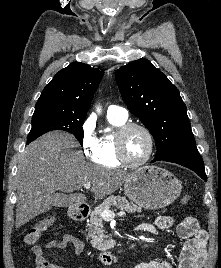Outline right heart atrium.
Returning <instances> with one entry per match:
<instances>
[{
	"mask_svg": "<svg viewBox=\"0 0 221 268\" xmlns=\"http://www.w3.org/2000/svg\"><path fill=\"white\" fill-rule=\"evenodd\" d=\"M81 147L84 155L94 160L97 148L98 138L95 132V120L92 117H88L81 126Z\"/></svg>",
	"mask_w": 221,
	"mask_h": 268,
	"instance_id": "d8ad5b80",
	"label": "right heart atrium"
}]
</instances>
